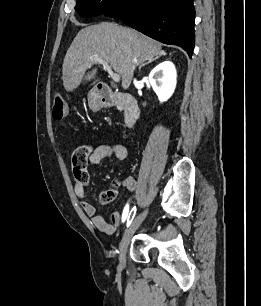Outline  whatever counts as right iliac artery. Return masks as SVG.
I'll use <instances>...</instances> for the list:
<instances>
[{"mask_svg": "<svg viewBox=\"0 0 261 306\" xmlns=\"http://www.w3.org/2000/svg\"><path fill=\"white\" fill-rule=\"evenodd\" d=\"M136 210H137V208H136V206H134V207L131 209V211H130V213H129V215H128L129 206H128V204L125 206L124 211H123L122 221L125 222L126 219H127V223H126L127 227H129L130 224L132 223V221H133V219H134V217H135V214H136Z\"/></svg>", "mask_w": 261, "mask_h": 306, "instance_id": "82829eb1", "label": "right iliac artery"}]
</instances>
